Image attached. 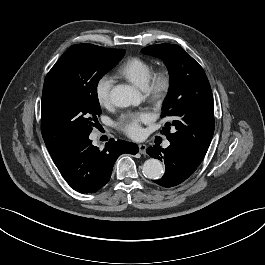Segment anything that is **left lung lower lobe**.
<instances>
[{
  "mask_svg": "<svg viewBox=\"0 0 265 265\" xmlns=\"http://www.w3.org/2000/svg\"><path fill=\"white\" fill-rule=\"evenodd\" d=\"M146 152L153 158L164 160L165 175L161 179L155 180V183L166 188L181 184L193 174L199 165L173 145L166 149H160L158 146L149 147Z\"/></svg>",
  "mask_w": 265,
  "mask_h": 265,
  "instance_id": "0a47b994",
  "label": "left lung lower lobe"
}]
</instances>
